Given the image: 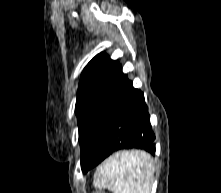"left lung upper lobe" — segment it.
Wrapping results in <instances>:
<instances>
[{
	"label": "left lung upper lobe",
	"instance_id": "1",
	"mask_svg": "<svg viewBox=\"0 0 221 193\" xmlns=\"http://www.w3.org/2000/svg\"><path fill=\"white\" fill-rule=\"evenodd\" d=\"M124 78L119 62L104 53L96 55L82 73L75 106L82 169L108 127L109 112Z\"/></svg>",
	"mask_w": 221,
	"mask_h": 193
}]
</instances>
